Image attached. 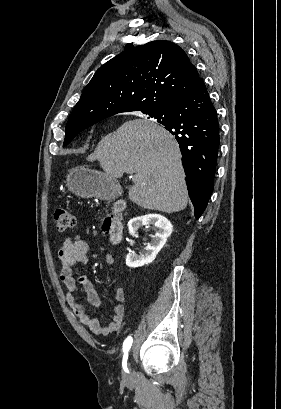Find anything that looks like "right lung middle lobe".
<instances>
[{
  "label": "right lung middle lobe",
  "instance_id": "right-lung-middle-lobe-1",
  "mask_svg": "<svg viewBox=\"0 0 281 409\" xmlns=\"http://www.w3.org/2000/svg\"><path fill=\"white\" fill-rule=\"evenodd\" d=\"M148 114V113H145ZM160 120H157V122L159 123ZM91 125L88 126H81V127H66L65 130V140H64V146L69 144L72 139L81 131H83L84 129L90 127Z\"/></svg>",
  "mask_w": 281,
  "mask_h": 409
}]
</instances>
